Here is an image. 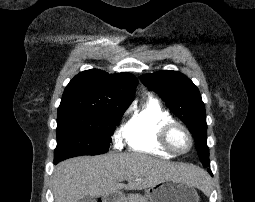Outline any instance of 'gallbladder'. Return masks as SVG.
<instances>
[{"instance_id":"gallbladder-1","label":"gallbladder","mask_w":255,"mask_h":202,"mask_svg":"<svg viewBox=\"0 0 255 202\" xmlns=\"http://www.w3.org/2000/svg\"><path fill=\"white\" fill-rule=\"evenodd\" d=\"M79 202H95V198L90 196H85L82 199H80Z\"/></svg>"}]
</instances>
